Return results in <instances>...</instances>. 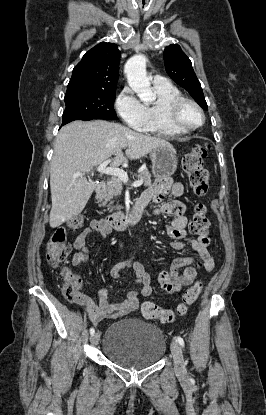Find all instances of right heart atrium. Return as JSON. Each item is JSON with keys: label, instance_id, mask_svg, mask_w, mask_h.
Returning a JSON list of instances; mask_svg holds the SVG:
<instances>
[{"label": "right heart atrium", "instance_id": "d8ad5b80", "mask_svg": "<svg viewBox=\"0 0 266 415\" xmlns=\"http://www.w3.org/2000/svg\"><path fill=\"white\" fill-rule=\"evenodd\" d=\"M115 108L122 120L134 129H142L147 120L146 106L134 95L130 88H125L115 101Z\"/></svg>", "mask_w": 266, "mask_h": 415}]
</instances>
